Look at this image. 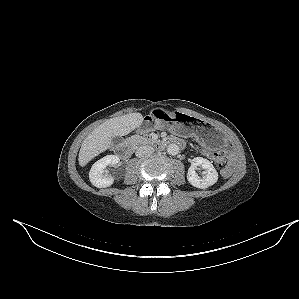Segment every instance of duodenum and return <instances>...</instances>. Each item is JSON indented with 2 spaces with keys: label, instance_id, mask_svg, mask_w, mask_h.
Masks as SVG:
<instances>
[{
  "label": "duodenum",
  "instance_id": "410a0bca",
  "mask_svg": "<svg viewBox=\"0 0 299 299\" xmlns=\"http://www.w3.org/2000/svg\"><path fill=\"white\" fill-rule=\"evenodd\" d=\"M174 143L176 144V145H179V146H181V144L178 142V141H174ZM167 144H166V142H164V141H160V142H158V143H156V147L158 148V149H162V148H164L165 146H166ZM132 145L130 144V143H122V144H120L118 147H117V149H116V152H117V154L120 156V157H123V158H126V157H129L130 155H131V153H132Z\"/></svg>",
  "mask_w": 299,
  "mask_h": 299
}]
</instances>
